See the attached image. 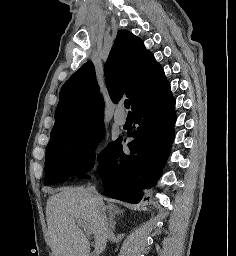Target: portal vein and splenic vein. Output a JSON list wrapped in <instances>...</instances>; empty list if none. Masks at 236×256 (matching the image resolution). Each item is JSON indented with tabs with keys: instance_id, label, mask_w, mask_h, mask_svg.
Returning <instances> with one entry per match:
<instances>
[{
	"instance_id": "portal-vein-and-splenic-vein-1",
	"label": "portal vein and splenic vein",
	"mask_w": 236,
	"mask_h": 256,
	"mask_svg": "<svg viewBox=\"0 0 236 256\" xmlns=\"http://www.w3.org/2000/svg\"><path fill=\"white\" fill-rule=\"evenodd\" d=\"M75 222H76L78 228H84L85 234H90V230H89L86 222H84V220H80V218H76Z\"/></svg>"
}]
</instances>
